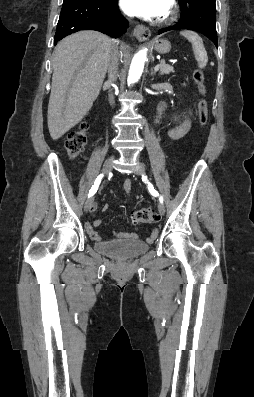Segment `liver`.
<instances>
[{"mask_svg":"<svg viewBox=\"0 0 254 397\" xmlns=\"http://www.w3.org/2000/svg\"><path fill=\"white\" fill-rule=\"evenodd\" d=\"M117 41L97 31H80L61 40L53 52L47 122L53 140L88 113L101 90ZM121 50L126 47L121 45Z\"/></svg>","mask_w":254,"mask_h":397,"instance_id":"6515ba94","label":"liver"}]
</instances>
